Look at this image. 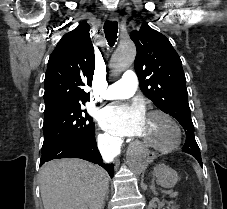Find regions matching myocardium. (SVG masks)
<instances>
[{
  "label": "myocardium",
  "mask_w": 227,
  "mask_h": 209,
  "mask_svg": "<svg viewBox=\"0 0 227 209\" xmlns=\"http://www.w3.org/2000/svg\"><path fill=\"white\" fill-rule=\"evenodd\" d=\"M148 116H159V117H162L163 119H165L172 126L175 136H174L173 141L169 145H166V146L158 145V144L149 142V141L144 140L139 137L141 143L145 147L150 148L155 151H159V152H166V151H172V150L177 149L180 146V144L182 142V137H183L182 129H181V126L178 123V121L172 115H170L168 112L163 111V110H152L149 112Z\"/></svg>",
  "instance_id": "f54148a6"
}]
</instances>
